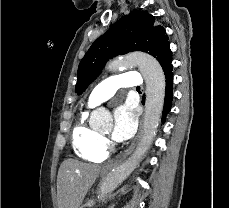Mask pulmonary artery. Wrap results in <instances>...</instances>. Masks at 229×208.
Listing matches in <instances>:
<instances>
[{
  "mask_svg": "<svg viewBox=\"0 0 229 208\" xmlns=\"http://www.w3.org/2000/svg\"><path fill=\"white\" fill-rule=\"evenodd\" d=\"M138 72H125L112 75L102 80L91 92L88 100L89 107H96L110 99L119 88L141 87V78Z\"/></svg>",
  "mask_w": 229,
  "mask_h": 208,
  "instance_id": "obj_1",
  "label": "pulmonary artery"
}]
</instances>
